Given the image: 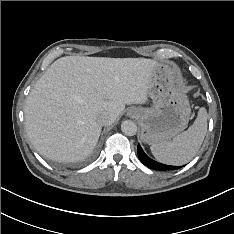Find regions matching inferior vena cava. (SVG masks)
<instances>
[{"label":"inferior vena cava","instance_id":"inferior-vena-cava-1","mask_svg":"<svg viewBox=\"0 0 234 234\" xmlns=\"http://www.w3.org/2000/svg\"><path fill=\"white\" fill-rule=\"evenodd\" d=\"M98 123L102 126L108 125L111 122V117L109 116L108 113H103L98 116L97 119Z\"/></svg>","mask_w":234,"mask_h":234}]
</instances>
